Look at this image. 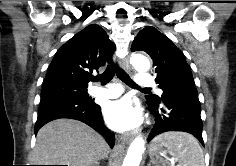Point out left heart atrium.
I'll use <instances>...</instances> for the list:
<instances>
[{
  "mask_svg": "<svg viewBox=\"0 0 236 166\" xmlns=\"http://www.w3.org/2000/svg\"><path fill=\"white\" fill-rule=\"evenodd\" d=\"M105 121L116 131H128L137 128L142 122L141 109L129 98L108 102L103 109Z\"/></svg>",
  "mask_w": 236,
  "mask_h": 166,
  "instance_id": "obj_1",
  "label": "left heart atrium"
}]
</instances>
